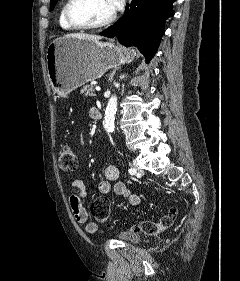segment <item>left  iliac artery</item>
<instances>
[{
	"mask_svg": "<svg viewBox=\"0 0 240 281\" xmlns=\"http://www.w3.org/2000/svg\"><path fill=\"white\" fill-rule=\"evenodd\" d=\"M129 173H130L131 175L136 174V169H135V168H130V169H129Z\"/></svg>",
	"mask_w": 240,
	"mask_h": 281,
	"instance_id": "1",
	"label": "left iliac artery"
}]
</instances>
